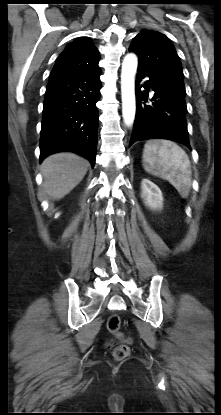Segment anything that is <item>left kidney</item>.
I'll return each instance as SVG.
<instances>
[{"label":"left kidney","mask_w":221,"mask_h":415,"mask_svg":"<svg viewBox=\"0 0 221 415\" xmlns=\"http://www.w3.org/2000/svg\"><path fill=\"white\" fill-rule=\"evenodd\" d=\"M142 198L144 203L150 209H161L163 207V196L161 190L148 179L141 182Z\"/></svg>","instance_id":"1"}]
</instances>
